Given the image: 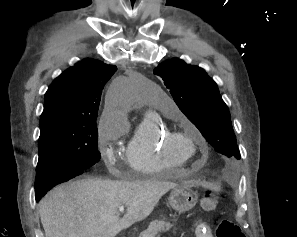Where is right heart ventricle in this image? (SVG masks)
I'll return each mask as SVG.
<instances>
[{
  "label": "right heart ventricle",
  "mask_w": 297,
  "mask_h": 237,
  "mask_svg": "<svg viewBox=\"0 0 297 237\" xmlns=\"http://www.w3.org/2000/svg\"><path fill=\"white\" fill-rule=\"evenodd\" d=\"M157 107L167 116L174 112L160 104ZM168 133L166 123L157 114L146 113L142 117L125 149L127 161L135 172L146 176L163 175L186 164L188 159L167 145Z\"/></svg>",
  "instance_id": "e07e8e85"
}]
</instances>
